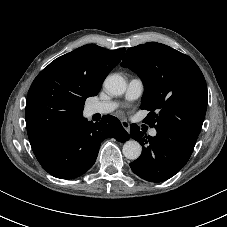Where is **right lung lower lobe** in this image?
Returning <instances> with one entry per match:
<instances>
[{
  "instance_id": "98d812e1",
  "label": "right lung lower lobe",
  "mask_w": 227,
  "mask_h": 227,
  "mask_svg": "<svg viewBox=\"0 0 227 227\" xmlns=\"http://www.w3.org/2000/svg\"><path fill=\"white\" fill-rule=\"evenodd\" d=\"M111 137L129 139L116 117L105 115L99 123L82 120L56 137L36 158L52 176L73 179L93 166L101 142Z\"/></svg>"
}]
</instances>
